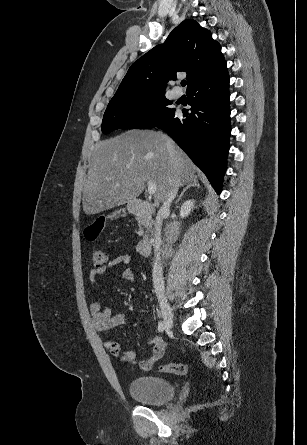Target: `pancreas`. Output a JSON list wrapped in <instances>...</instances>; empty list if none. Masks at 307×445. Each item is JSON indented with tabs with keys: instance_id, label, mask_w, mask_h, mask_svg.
Segmentation results:
<instances>
[{
	"instance_id": "cf45deb5",
	"label": "pancreas",
	"mask_w": 307,
	"mask_h": 445,
	"mask_svg": "<svg viewBox=\"0 0 307 445\" xmlns=\"http://www.w3.org/2000/svg\"><path fill=\"white\" fill-rule=\"evenodd\" d=\"M139 227H140V231H142V225H139Z\"/></svg>"
}]
</instances>
